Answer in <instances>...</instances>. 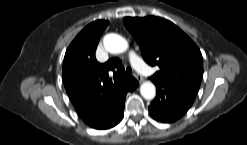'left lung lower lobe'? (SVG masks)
<instances>
[{
    "label": "left lung lower lobe",
    "mask_w": 247,
    "mask_h": 145,
    "mask_svg": "<svg viewBox=\"0 0 247 145\" xmlns=\"http://www.w3.org/2000/svg\"><path fill=\"white\" fill-rule=\"evenodd\" d=\"M152 81L157 87V95L149 106V112L155 120L174 122L192 106L196 95L162 80Z\"/></svg>",
    "instance_id": "obj_1"
}]
</instances>
